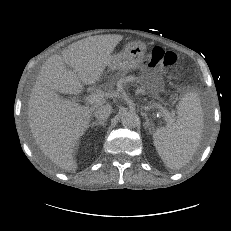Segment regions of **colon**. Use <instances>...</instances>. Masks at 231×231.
<instances>
[{
    "label": "colon",
    "mask_w": 231,
    "mask_h": 231,
    "mask_svg": "<svg viewBox=\"0 0 231 231\" xmlns=\"http://www.w3.org/2000/svg\"><path fill=\"white\" fill-rule=\"evenodd\" d=\"M177 61V56L174 52L165 51L160 47L153 48L144 60L147 67H170Z\"/></svg>",
    "instance_id": "colon-1"
}]
</instances>
